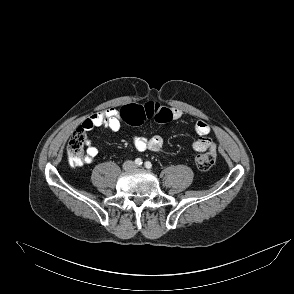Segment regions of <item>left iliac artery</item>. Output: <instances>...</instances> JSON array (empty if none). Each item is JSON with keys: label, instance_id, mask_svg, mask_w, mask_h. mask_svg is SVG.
<instances>
[{"label": "left iliac artery", "instance_id": "obj_1", "mask_svg": "<svg viewBox=\"0 0 294 294\" xmlns=\"http://www.w3.org/2000/svg\"><path fill=\"white\" fill-rule=\"evenodd\" d=\"M145 167H146L147 169H150V168L152 167V164H151L149 161H146V162H145Z\"/></svg>", "mask_w": 294, "mask_h": 294}]
</instances>
